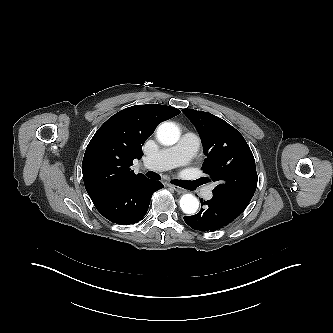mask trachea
I'll use <instances>...</instances> for the list:
<instances>
[{
    "label": "trachea",
    "instance_id": "1",
    "mask_svg": "<svg viewBox=\"0 0 333 333\" xmlns=\"http://www.w3.org/2000/svg\"><path fill=\"white\" fill-rule=\"evenodd\" d=\"M146 176L148 178H151V179H154V180H160V175L153 172V171H149L146 173ZM172 184L174 185H177L179 187H182V188H185V189H188L189 186H190V183L188 181H183V180H172Z\"/></svg>",
    "mask_w": 333,
    "mask_h": 333
}]
</instances>
